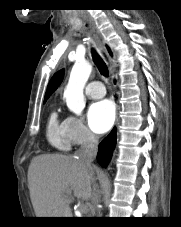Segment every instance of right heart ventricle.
Returning a JSON list of instances; mask_svg holds the SVG:
<instances>
[{"label": "right heart ventricle", "mask_w": 181, "mask_h": 227, "mask_svg": "<svg viewBox=\"0 0 181 227\" xmlns=\"http://www.w3.org/2000/svg\"><path fill=\"white\" fill-rule=\"evenodd\" d=\"M46 136L49 143L60 151H68L71 147L65 132V119L59 117L56 109H53L48 117Z\"/></svg>", "instance_id": "1"}]
</instances>
